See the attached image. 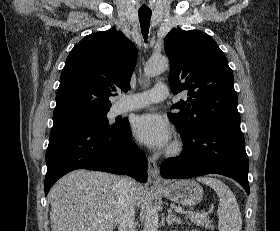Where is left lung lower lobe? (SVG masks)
<instances>
[{"label": "left lung lower lobe", "instance_id": "1", "mask_svg": "<svg viewBox=\"0 0 280 231\" xmlns=\"http://www.w3.org/2000/svg\"><path fill=\"white\" fill-rule=\"evenodd\" d=\"M180 134L184 150L161 164L163 178L221 174L236 180L249 195V161L240 123H211Z\"/></svg>", "mask_w": 280, "mask_h": 231}]
</instances>
